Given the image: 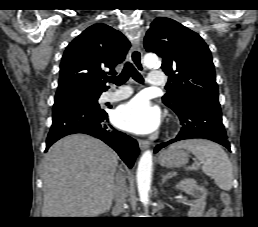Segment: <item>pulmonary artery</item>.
<instances>
[{
    "label": "pulmonary artery",
    "mask_w": 258,
    "mask_h": 227,
    "mask_svg": "<svg viewBox=\"0 0 258 227\" xmlns=\"http://www.w3.org/2000/svg\"><path fill=\"white\" fill-rule=\"evenodd\" d=\"M148 83L151 86H162L166 83L165 74L158 71H150L148 77ZM132 94V90L130 88H121L117 91H107L102 94L101 101L102 102H117L129 97Z\"/></svg>",
    "instance_id": "e3ab8cb5"
}]
</instances>
